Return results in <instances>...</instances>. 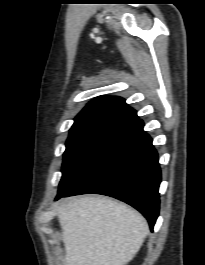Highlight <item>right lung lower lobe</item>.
<instances>
[{"mask_svg":"<svg viewBox=\"0 0 205 265\" xmlns=\"http://www.w3.org/2000/svg\"><path fill=\"white\" fill-rule=\"evenodd\" d=\"M143 127L140 119L130 124L55 200L87 193L111 196L139 210L153 230L161 171L152 138Z\"/></svg>","mask_w":205,"mask_h":265,"instance_id":"obj_1","label":"right lung lower lobe"}]
</instances>
